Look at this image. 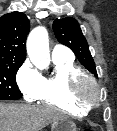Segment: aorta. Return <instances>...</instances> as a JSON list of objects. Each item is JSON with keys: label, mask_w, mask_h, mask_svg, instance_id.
<instances>
[{"label": "aorta", "mask_w": 117, "mask_h": 131, "mask_svg": "<svg viewBox=\"0 0 117 131\" xmlns=\"http://www.w3.org/2000/svg\"><path fill=\"white\" fill-rule=\"evenodd\" d=\"M26 47L27 54L36 68L43 70L49 67V39L45 27L38 26L30 32Z\"/></svg>", "instance_id": "aorta-1"}]
</instances>
